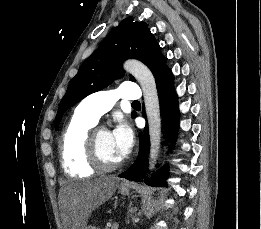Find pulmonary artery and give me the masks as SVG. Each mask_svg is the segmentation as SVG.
Instances as JSON below:
<instances>
[{
	"label": "pulmonary artery",
	"instance_id": "obj_1",
	"mask_svg": "<svg viewBox=\"0 0 261 229\" xmlns=\"http://www.w3.org/2000/svg\"><path fill=\"white\" fill-rule=\"evenodd\" d=\"M121 89H109L93 93L83 99L79 107L85 116L97 123L102 115L110 111L114 103L122 99H140L139 84H121Z\"/></svg>",
	"mask_w": 261,
	"mask_h": 229
}]
</instances>
